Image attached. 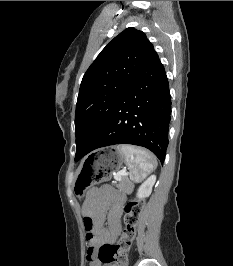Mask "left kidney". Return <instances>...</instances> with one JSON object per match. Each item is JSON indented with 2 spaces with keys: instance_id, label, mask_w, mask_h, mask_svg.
<instances>
[{
  "instance_id": "1",
  "label": "left kidney",
  "mask_w": 233,
  "mask_h": 266,
  "mask_svg": "<svg viewBox=\"0 0 233 266\" xmlns=\"http://www.w3.org/2000/svg\"><path fill=\"white\" fill-rule=\"evenodd\" d=\"M156 181V176H150L144 183L141 184L137 191V197L143 199L148 197L152 192V187Z\"/></svg>"
}]
</instances>
